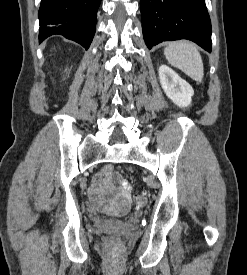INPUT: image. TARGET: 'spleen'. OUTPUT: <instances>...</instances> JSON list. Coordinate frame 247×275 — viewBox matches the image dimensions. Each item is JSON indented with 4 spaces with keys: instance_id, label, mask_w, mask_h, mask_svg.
Segmentation results:
<instances>
[{
    "instance_id": "3e777b00",
    "label": "spleen",
    "mask_w": 247,
    "mask_h": 275,
    "mask_svg": "<svg viewBox=\"0 0 247 275\" xmlns=\"http://www.w3.org/2000/svg\"><path fill=\"white\" fill-rule=\"evenodd\" d=\"M168 62L182 70L186 75L197 82H201L204 76V66L197 47L188 41L169 43L164 49Z\"/></svg>"
}]
</instances>
